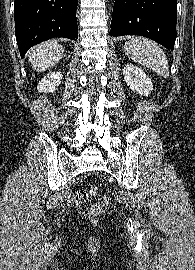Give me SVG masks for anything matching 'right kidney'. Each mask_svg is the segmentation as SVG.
<instances>
[{
	"instance_id": "obj_1",
	"label": "right kidney",
	"mask_w": 195,
	"mask_h": 270,
	"mask_svg": "<svg viewBox=\"0 0 195 270\" xmlns=\"http://www.w3.org/2000/svg\"><path fill=\"white\" fill-rule=\"evenodd\" d=\"M62 79L60 72H52L45 76L38 84L37 89L39 92L53 93L59 86Z\"/></svg>"
}]
</instances>
